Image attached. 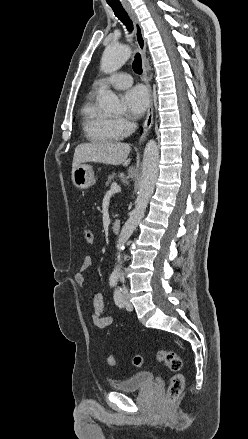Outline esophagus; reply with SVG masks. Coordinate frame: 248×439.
Returning <instances> with one entry per match:
<instances>
[{"mask_svg": "<svg viewBox=\"0 0 248 439\" xmlns=\"http://www.w3.org/2000/svg\"><path fill=\"white\" fill-rule=\"evenodd\" d=\"M126 11L128 12L129 16L131 17L134 27H135V39L137 46L139 48L141 58H142V69H143V80L148 88L149 91V107L146 115V119L144 121L143 125V133L140 137V142L143 141L144 137L146 136L147 132L150 130L153 124V116H154V106H153V95H152V87H151V79L152 77L149 75L150 72V66L149 62L146 56V40L143 34L142 26L134 12V10L131 8L130 5H124Z\"/></svg>", "mask_w": 248, "mask_h": 439, "instance_id": "1", "label": "esophagus"}]
</instances>
